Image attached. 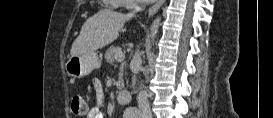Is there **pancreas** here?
<instances>
[{
    "label": "pancreas",
    "instance_id": "1",
    "mask_svg": "<svg viewBox=\"0 0 273 118\" xmlns=\"http://www.w3.org/2000/svg\"><path fill=\"white\" fill-rule=\"evenodd\" d=\"M120 51H121V48L119 47H113V46L110 47L105 54L106 62L109 64H113L115 60V54ZM123 69H124V63H122L120 66L119 81L116 84L118 89H122L124 87V83L122 81Z\"/></svg>",
    "mask_w": 273,
    "mask_h": 118
}]
</instances>
